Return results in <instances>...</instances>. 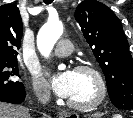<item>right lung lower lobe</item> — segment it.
<instances>
[{
	"mask_svg": "<svg viewBox=\"0 0 133 118\" xmlns=\"http://www.w3.org/2000/svg\"><path fill=\"white\" fill-rule=\"evenodd\" d=\"M25 97L24 85L14 90L0 91V101L2 102L20 104L24 101Z\"/></svg>",
	"mask_w": 133,
	"mask_h": 118,
	"instance_id": "obj_1",
	"label": "right lung lower lobe"
}]
</instances>
